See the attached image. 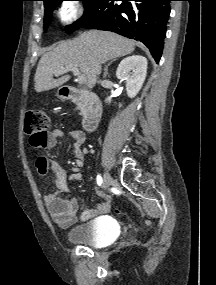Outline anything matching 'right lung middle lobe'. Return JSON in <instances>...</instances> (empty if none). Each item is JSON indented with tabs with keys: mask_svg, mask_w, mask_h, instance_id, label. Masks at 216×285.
Listing matches in <instances>:
<instances>
[{
	"mask_svg": "<svg viewBox=\"0 0 216 285\" xmlns=\"http://www.w3.org/2000/svg\"><path fill=\"white\" fill-rule=\"evenodd\" d=\"M62 1L66 0H50L44 3L45 6L44 28H46V25L50 20L51 13L54 10L55 5L61 3ZM77 1H82L84 3L85 12L84 15L79 20H77L72 25L67 26L68 33H72L73 31L79 29L83 25V23L93 14V12L96 10V8L98 7V5L102 0H77Z\"/></svg>",
	"mask_w": 216,
	"mask_h": 285,
	"instance_id": "right-lung-middle-lobe-1",
	"label": "right lung middle lobe"
}]
</instances>
